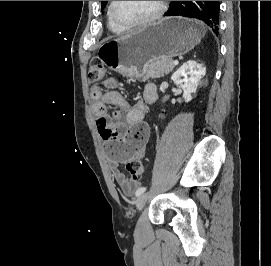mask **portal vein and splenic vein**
Listing matches in <instances>:
<instances>
[{
	"instance_id": "obj_1",
	"label": "portal vein and splenic vein",
	"mask_w": 271,
	"mask_h": 266,
	"mask_svg": "<svg viewBox=\"0 0 271 266\" xmlns=\"http://www.w3.org/2000/svg\"><path fill=\"white\" fill-rule=\"evenodd\" d=\"M179 64V61L178 60H175V61H173V65H178Z\"/></svg>"
}]
</instances>
